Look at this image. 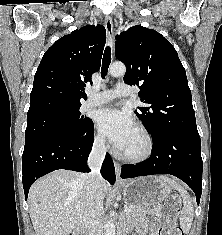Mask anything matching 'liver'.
Wrapping results in <instances>:
<instances>
[{
    "instance_id": "1",
    "label": "liver",
    "mask_w": 222,
    "mask_h": 235,
    "mask_svg": "<svg viewBox=\"0 0 222 235\" xmlns=\"http://www.w3.org/2000/svg\"><path fill=\"white\" fill-rule=\"evenodd\" d=\"M86 175L56 170L31 186L29 214L36 235H69L82 223L86 207ZM108 183L102 179L106 195Z\"/></svg>"
}]
</instances>
